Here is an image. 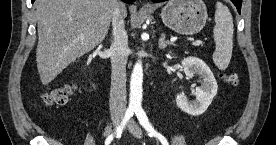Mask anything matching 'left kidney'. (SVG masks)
<instances>
[{
    "instance_id": "1",
    "label": "left kidney",
    "mask_w": 276,
    "mask_h": 145,
    "mask_svg": "<svg viewBox=\"0 0 276 145\" xmlns=\"http://www.w3.org/2000/svg\"><path fill=\"white\" fill-rule=\"evenodd\" d=\"M184 73L189 78L195 74L202 78L201 86L196 88V100L190 101L184 93L177 95V106L184 112L198 116L203 114L217 94L216 79L207 64L197 57H187L181 61Z\"/></svg>"
}]
</instances>
